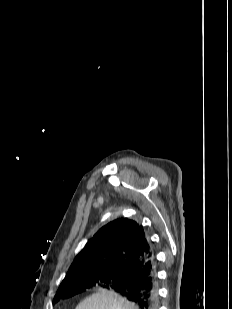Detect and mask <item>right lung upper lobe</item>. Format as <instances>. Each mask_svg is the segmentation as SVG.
Instances as JSON below:
<instances>
[{
    "mask_svg": "<svg viewBox=\"0 0 232 309\" xmlns=\"http://www.w3.org/2000/svg\"><path fill=\"white\" fill-rule=\"evenodd\" d=\"M154 255L143 227L128 218L109 222L78 253L63 282L87 271L125 273Z\"/></svg>",
    "mask_w": 232,
    "mask_h": 309,
    "instance_id": "1",
    "label": "right lung upper lobe"
}]
</instances>
